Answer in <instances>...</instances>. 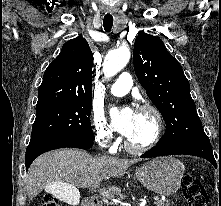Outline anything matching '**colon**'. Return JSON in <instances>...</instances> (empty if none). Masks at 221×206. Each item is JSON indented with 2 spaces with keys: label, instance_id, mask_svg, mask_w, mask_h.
Listing matches in <instances>:
<instances>
[{
  "label": "colon",
  "instance_id": "1",
  "mask_svg": "<svg viewBox=\"0 0 221 206\" xmlns=\"http://www.w3.org/2000/svg\"><path fill=\"white\" fill-rule=\"evenodd\" d=\"M184 197L188 206H208V195L201 181L193 175L186 174L182 180ZM42 206H61L60 203L51 196L42 199Z\"/></svg>",
  "mask_w": 221,
  "mask_h": 206
}]
</instances>
